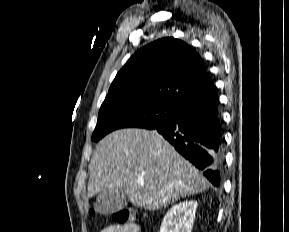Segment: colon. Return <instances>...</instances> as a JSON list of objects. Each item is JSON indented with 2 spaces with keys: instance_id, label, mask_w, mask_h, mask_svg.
I'll list each match as a JSON object with an SVG mask.
<instances>
[{
  "instance_id": "1",
  "label": "colon",
  "mask_w": 289,
  "mask_h": 232,
  "mask_svg": "<svg viewBox=\"0 0 289 232\" xmlns=\"http://www.w3.org/2000/svg\"><path fill=\"white\" fill-rule=\"evenodd\" d=\"M91 214L93 211L90 212ZM113 220L117 225L123 226L131 222L133 218V212L129 209H120L113 213Z\"/></svg>"
}]
</instances>
